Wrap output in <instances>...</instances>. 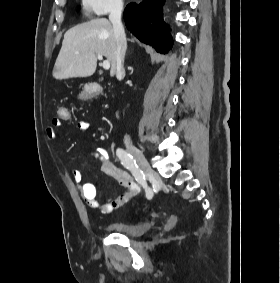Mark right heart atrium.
I'll use <instances>...</instances> for the list:
<instances>
[{
  "label": "right heart atrium",
  "mask_w": 280,
  "mask_h": 283,
  "mask_svg": "<svg viewBox=\"0 0 280 283\" xmlns=\"http://www.w3.org/2000/svg\"><path fill=\"white\" fill-rule=\"evenodd\" d=\"M86 14L90 16H104L118 14L124 8L123 0H81Z\"/></svg>",
  "instance_id": "right-heart-atrium-1"
}]
</instances>
